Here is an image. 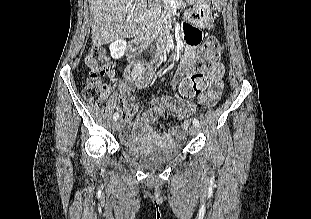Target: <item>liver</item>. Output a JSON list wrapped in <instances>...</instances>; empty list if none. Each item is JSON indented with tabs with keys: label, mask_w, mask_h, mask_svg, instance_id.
Masks as SVG:
<instances>
[{
	"label": "liver",
	"mask_w": 311,
	"mask_h": 219,
	"mask_svg": "<svg viewBox=\"0 0 311 219\" xmlns=\"http://www.w3.org/2000/svg\"><path fill=\"white\" fill-rule=\"evenodd\" d=\"M94 46L137 35L145 23V0H89Z\"/></svg>",
	"instance_id": "1"
}]
</instances>
